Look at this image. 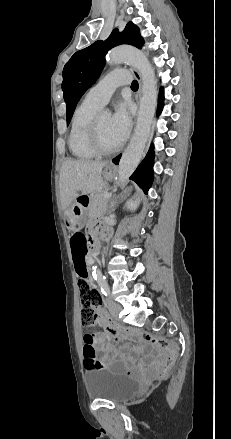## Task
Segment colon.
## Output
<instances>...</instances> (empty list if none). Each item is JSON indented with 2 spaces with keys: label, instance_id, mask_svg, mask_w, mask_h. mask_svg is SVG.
Returning <instances> with one entry per match:
<instances>
[{
  "label": "colon",
  "instance_id": "1",
  "mask_svg": "<svg viewBox=\"0 0 231 439\" xmlns=\"http://www.w3.org/2000/svg\"><path fill=\"white\" fill-rule=\"evenodd\" d=\"M72 240L75 244L76 254L79 253L81 243L83 244V251L87 249L88 245L85 239H83L82 237L77 235L74 236ZM77 269L79 273L77 286L81 300V320L84 326L91 327L95 323L96 311L100 305L101 299L98 291L91 285L87 272V267L80 264L77 266ZM110 331L119 335L126 332L121 326L116 324L111 325ZM136 336L146 344L155 347L165 353L166 357L160 371V376L162 378H165L169 374V371L174 364L176 357L175 348L167 340L146 331H136ZM84 364L86 368H102L103 366L95 360V356L92 351L86 352Z\"/></svg>",
  "mask_w": 231,
  "mask_h": 439
}]
</instances>
